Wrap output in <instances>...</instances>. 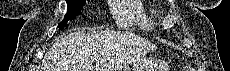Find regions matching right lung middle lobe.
I'll use <instances>...</instances> for the list:
<instances>
[{
  "instance_id": "dd1d6c3e",
  "label": "right lung middle lobe",
  "mask_w": 230,
  "mask_h": 71,
  "mask_svg": "<svg viewBox=\"0 0 230 71\" xmlns=\"http://www.w3.org/2000/svg\"><path fill=\"white\" fill-rule=\"evenodd\" d=\"M66 3L68 6L67 14L64 17V20L58 25L61 29L68 25V20L74 19L81 12L82 7L86 4V0H66Z\"/></svg>"
}]
</instances>
